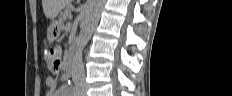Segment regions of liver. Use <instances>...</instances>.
<instances>
[{
	"label": "liver",
	"instance_id": "1",
	"mask_svg": "<svg viewBox=\"0 0 232 96\" xmlns=\"http://www.w3.org/2000/svg\"><path fill=\"white\" fill-rule=\"evenodd\" d=\"M69 2L70 0H42L43 12L47 18L54 19Z\"/></svg>",
	"mask_w": 232,
	"mask_h": 96
}]
</instances>
